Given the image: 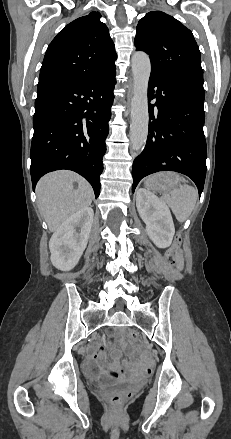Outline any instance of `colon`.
<instances>
[{"instance_id": "colon-1", "label": "colon", "mask_w": 231, "mask_h": 439, "mask_svg": "<svg viewBox=\"0 0 231 439\" xmlns=\"http://www.w3.org/2000/svg\"><path fill=\"white\" fill-rule=\"evenodd\" d=\"M181 243V237L178 235L175 239V242L173 244V247L171 249L170 254L167 256V261L169 263H174L175 261V252L179 249ZM129 338L134 341V342H138L140 337L138 332L136 331H130L128 333ZM126 398V395L122 392H114L110 395V401L113 405L119 406L123 403L124 399Z\"/></svg>"}]
</instances>
